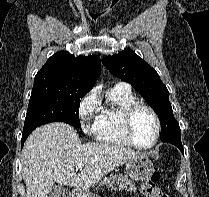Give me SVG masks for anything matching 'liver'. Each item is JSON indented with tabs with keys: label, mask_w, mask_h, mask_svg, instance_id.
Instances as JSON below:
<instances>
[{
	"label": "liver",
	"mask_w": 209,
	"mask_h": 197,
	"mask_svg": "<svg viewBox=\"0 0 209 197\" xmlns=\"http://www.w3.org/2000/svg\"><path fill=\"white\" fill-rule=\"evenodd\" d=\"M138 154L107 143L81 144L70 125L45 124L30 134L23 148L22 176L27 197H48L55 183L87 189ZM81 162L83 167L77 174Z\"/></svg>",
	"instance_id": "1"
}]
</instances>
